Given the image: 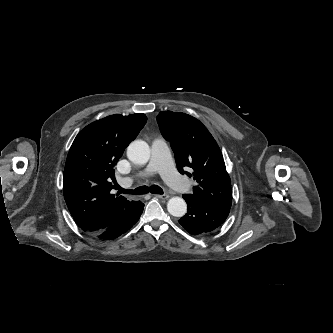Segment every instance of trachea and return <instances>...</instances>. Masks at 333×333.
<instances>
[{"mask_svg": "<svg viewBox=\"0 0 333 333\" xmlns=\"http://www.w3.org/2000/svg\"><path fill=\"white\" fill-rule=\"evenodd\" d=\"M117 188H118L120 193H124V194L143 195V194H147L149 192H151L152 194H163L162 188L159 187L158 185H152L150 187L141 186V187H138L134 190H126V189H123L120 186H118Z\"/></svg>", "mask_w": 333, "mask_h": 333, "instance_id": "obj_1", "label": "trachea"}]
</instances>
